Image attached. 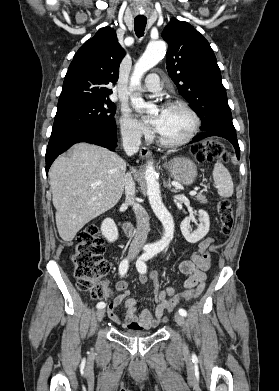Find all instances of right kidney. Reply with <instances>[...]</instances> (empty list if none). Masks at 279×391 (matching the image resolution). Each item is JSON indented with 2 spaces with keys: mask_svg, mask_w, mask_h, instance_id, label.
<instances>
[{
  "mask_svg": "<svg viewBox=\"0 0 279 391\" xmlns=\"http://www.w3.org/2000/svg\"><path fill=\"white\" fill-rule=\"evenodd\" d=\"M102 235L107 239L108 242H114L118 239V229L115 222L106 218L101 224Z\"/></svg>",
  "mask_w": 279,
  "mask_h": 391,
  "instance_id": "right-kidney-1",
  "label": "right kidney"
}]
</instances>
